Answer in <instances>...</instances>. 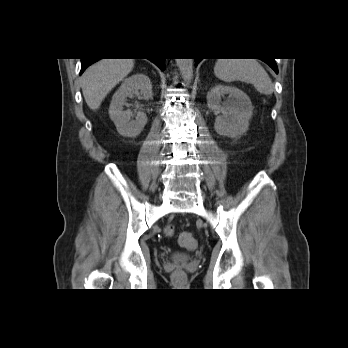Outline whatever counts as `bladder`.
<instances>
[{
	"label": "bladder",
	"instance_id": "1",
	"mask_svg": "<svg viewBox=\"0 0 348 348\" xmlns=\"http://www.w3.org/2000/svg\"><path fill=\"white\" fill-rule=\"evenodd\" d=\"M173 258L177 259V260L184 261V260H188L190 258V256L187 254H175V255H173Z\"/></svg>",
	"mask_w": 348,
	"mask_h": 348
}]
</instances>
